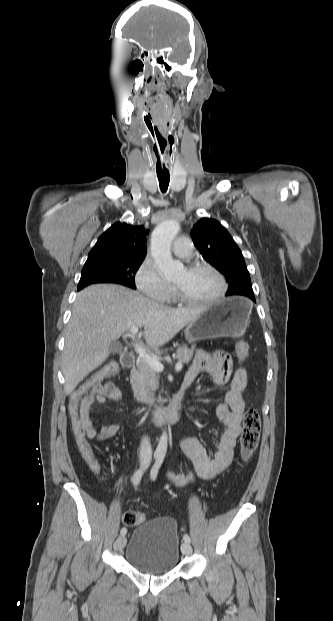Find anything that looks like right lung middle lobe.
Listing matches in <instances>:
<instances>
[{
  "label": "right lung middle lobe",
  "mask_w": 333,
  "mask_h": 621,
  "mask_svg": "<svg viewBox=\"0 0 333 621\" xmlns=\"http://www.w3.org/2000/svg\"><path fill=\"white\" fill-rule=\"evenodd\" d=\"M143 260L103 259L86 261L78 290L94 283H117L135 289V273Z\"/></svg>",
  "instance_id": "right-lung-middle-lobe-1"
}]
</instances>
